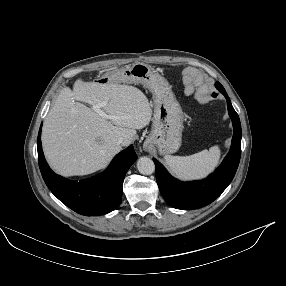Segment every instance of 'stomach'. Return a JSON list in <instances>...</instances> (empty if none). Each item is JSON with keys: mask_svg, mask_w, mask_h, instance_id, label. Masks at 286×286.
I'll list each match as a JSON object with an SVG mask.
<instances>
[{"mask_svg": "<svg viewBox=\"0 0 286 286\" xmlns=\"http://www.w3.org/2000/svg\"><path fill=\"white\" fill-rule=\"evenodd\" d=\"M111 83L142 84L153 94L154 117L145 147L156 148L160 154L175 153L181 146L183 111L168 81L151 66L138 62L109 72Z\"/></svg>", "mask_w": 286, "mask_h": 286, "instance_id": "1", "label": "stomach"}]
</instances>
